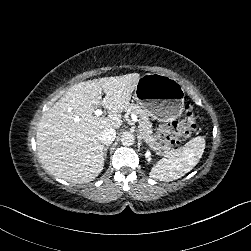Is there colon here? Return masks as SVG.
<instances>
[{
	"mask_svg": "<svg viewBox=\"0 0 251 251\" xmlns=\"http://www.w3.org/2000/svg\"><path fill=\"white\" fill-rule=\"evenodd\" d=\"M198 127V118L190 105L185 106L183 118L159 125L157 137L168 145H178L188 139Z\"/></svg>",
	"mask_w": 251,
	"mask_h": 251,
	"instance_id": "colon-1",
	"label": "colon"
}]
</instances>
